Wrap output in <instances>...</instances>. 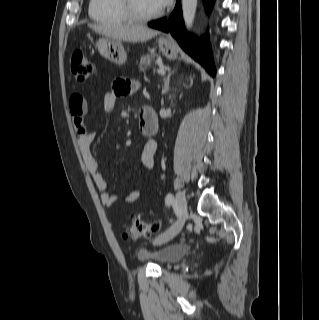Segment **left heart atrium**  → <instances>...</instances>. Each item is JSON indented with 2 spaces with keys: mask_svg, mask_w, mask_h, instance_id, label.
<instances>
[{
  "mask_svg": "<svg viewBox=\"0 0 319 320\" xmlns=\"http://www.w3.org/2000/svg\"><path fill=\"white\" fill-rule=\"evenodd\" d=\"M171 0H154L155 4L159 9H163L169 5Z\"/></svg>",
  "mask_w": 319,
  "mask_h": 320,
  "instance_id": "obj_1",
  "label": "left heart atrium"
}]
</instances>
